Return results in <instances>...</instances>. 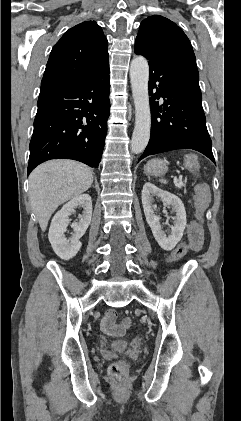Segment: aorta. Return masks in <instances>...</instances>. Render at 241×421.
Here are the masks:
<instances>
[{
    "mask_svg": "<svg viewBox=\"0 0 241 421\" xmlns=\"http://www.w3.org/2000/svg\"><path fill=\"white\" fill-rule=\"evenodd\" d=\"M149 66L143 56L135 57L130 66V81L135 105V127L131 151L142 153L150 138L151 113L148 94Z\"/></svg>",
    "mask_w": 241,
    "mask_h": 421,
    "instance_id": "762f6f07",
    "label": "aorta"
}]
</instances>
